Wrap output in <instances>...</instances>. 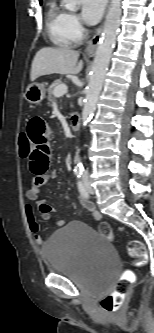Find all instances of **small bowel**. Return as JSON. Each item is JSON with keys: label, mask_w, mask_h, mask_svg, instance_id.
Masks as SVG:
<instances>
[{"label": "small bowel", "mask_w": 154, "mask_h": 333, "mask_svg": "<svg viewBox=\"0 0 154 333\" xmlns=\"http://www.w3.org/2000/svg\"><path fill=\"white\" fill-rule=\"evenodd\" d=\"M26 134L32 143V151L29 159V168L33 173L31 185L27 190V198L35 201L40 211L41 217L45 221H53L57 226H64V220H54L53 214L57 211L50 206L44 199L40 198L41 187L50 179L57 177V171H50L51 159V129L48 124L39 117L30 119L27 125ZM80 201L82 205L91 213L92 218L96 221L101 219V214L96 210L94 204L81 195ZM26 216L29 229L34 236V240L38 245L45 243V238L39 234L40 227L34 217L33 209L30 205L26 206Z\"/></svg>", "instance_id": "small-bowel-1"}]
</instances>
